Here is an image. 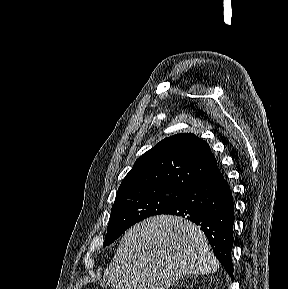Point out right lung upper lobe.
I'll use <instances>...</instances> for the list:
<instances>
[{
    "instance_id": "1",
    "label": "right lung upper lobe",
    "mask_w": 288,
    "mask_h": 289,
    "mask_svg": "<svg viewBox=\"0 0 288 289\" xmlns=\"http://www.w3.org/2000/svg\"><path fill=\"white\" fill-rule=\"evenodd\" d=\"M216 166L205 141L191 133L177 134L139 157L117 193L155 187L186 190Z\"/></svg>"
}]
</instances>
